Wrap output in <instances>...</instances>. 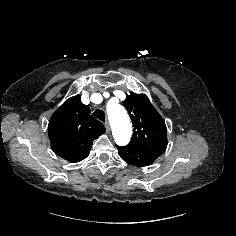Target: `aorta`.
<instances>
[{
  "label": "aorta",
  "mask_w": 236,
  "mask_h": 236,
  "mask_svg": "<svg viewBox=\"0 0 236 236\" xmlns=\"http://www.w3.org/2000/svg\"><path fill=\"white\" fill-rule=\"evenodd\" d=\"M107 113L115 142L120 146L127 145L131 137V123L126 110L119 104L110 103Z\"/></svg>",
  "instance_id": "obj_1"
}]
</instances>
